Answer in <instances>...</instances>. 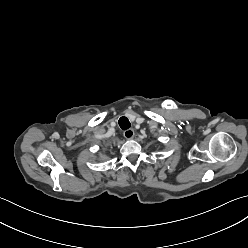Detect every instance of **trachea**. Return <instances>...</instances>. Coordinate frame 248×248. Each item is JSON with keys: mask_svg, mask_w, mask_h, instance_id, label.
<instances>
[{"mask_svg": "<svg viewBox=\"0 0 248 248\" xmlns=\"http://www.w3.org/2000/svg\"><path fill=\"white\" fill-rule=\"evenodd\" d=\"M119 126L122 130H126L128 128H130L131 123L129 122V120L126 117H121L118 121Z\"/></svg>", "mask_w": 248, "mask_h": 248, "instance_id": "obj_1", "label": "trachea"}]
</instances>
